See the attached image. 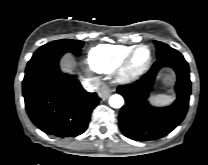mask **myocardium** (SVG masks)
I'll list each match as a JSON object with an SVG mask.
<instances>
[{"label": "myocardium", "mask_w": 208, "mask_h": 165, "mask_svg": "<svg viewBox=\"0 0 208 165\" xmlns=\"http://www.w3.org/2000/svg\"><path fill=\"white\" fill-rule=\"evenodd\" d=\"M146 49L149 53L147 61L142 65L135 63V57L139 50ZM153 61V53L149 46L141 44L136 46L124 60V65L121 70V80L131 82L141 77L151 66Z\"/></svg>", "instance_id": "obj_1"}]
</instances>
